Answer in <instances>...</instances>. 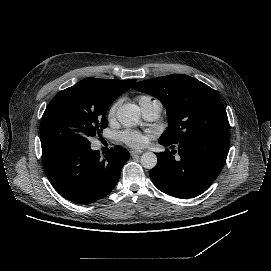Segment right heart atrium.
I'll list each match as a JSON object with an SVG mask.
<instances>
[{"label": "right heart atrium", "instance_id": "right-heart-atrium-1", "mask_svg": "<svg viewBox=\"0 0 271 271\" xmlns=\"http://www.w3.org/2000/svg\"><path fill=\"white\" fill-rule=\"evenodd\" d=\"M123 99L122 97L117 98L109 107L108 111H107V118L111 119L115 116L116 111L118 109V107L120 106V104L122 103Z\"/></svg>", "mask_w": 271, "mask_h": 271}]
</instances>
